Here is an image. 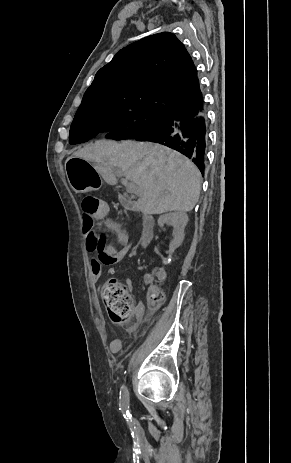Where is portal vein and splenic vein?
<instances>
[{
    "mask_svg": "<svg viewBox=\"0 0 291 463\" xmlns=\"http://www.w3.org/2000/svg\"><path fill=\"white\" fill-rule=\"evenodd\" d=\"M117 175L122 177V173L117 171ZM123 185L126 187V191L131 194L139 195V190L135 183L127 181V179H123Z\"/></svg>",
    "mask_w": 291,
    "mask_h": 463,
    "instance_id": "18ae733b",
    "label": "portal vein and splenic vein"
}]
</instances>
